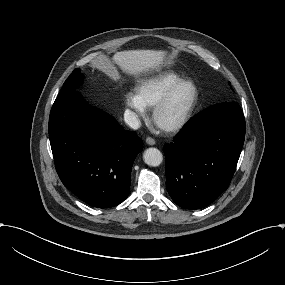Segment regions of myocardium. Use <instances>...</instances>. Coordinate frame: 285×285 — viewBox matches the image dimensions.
<instances>
[{"label":"myocardium","mask_w":285,"mask_h":285,"mask_svg":"<svg viewBox=\"0 0 285 285\" xmlns=\"http://www.w3.org/2000/svg\"><path fill=\"white\" fill-rule=\"evenodd\" d=\"M192 85L194 88V97L191 101L190 106L188 107L187 111L184 113V115L176 122H174L171 125L168 126H161L159 124V117L161 113L169 106L171 103L174 95L176 92L185 85ZM200 88L198 84L192 80V79H182L178 83H176L174 86H172L167 93L162 97V99L159 101V103L154 107L153 110V120L154 122L161 127L166 132H177L181 129H183L191 120L193 117L199 102H200Z\"/></svg>","instance_id":"obj_1"}]
</instances>
